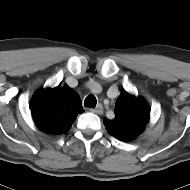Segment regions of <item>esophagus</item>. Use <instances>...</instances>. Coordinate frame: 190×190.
<instances>
[{"label":"esophagus","instance_id":"obj_1","mask_svg":"<svg viewBox=\"0 0 190 190\" xmlns=\"http://www.w3.org/2000/svg\"><path fill=\"white\" fill-rule=\"evenodd\" d=\"M89 111L96 113V114H102L103 113V106L101 104H98L94 109L91 108Z\"/></svg>","mask_w":190,"mask_h":190}]
</instances>
